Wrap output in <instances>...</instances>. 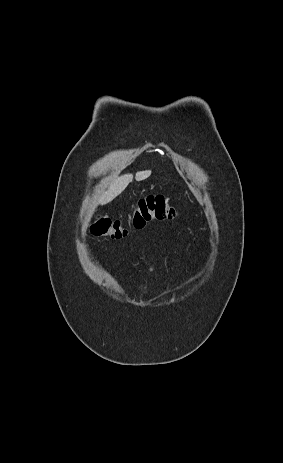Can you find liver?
Instances as JSON below:
<instances>
[{
  "label": "liver",
  "mask_w": 283,
  "mask_h": 463,
  "mask_svg": "<svg viewBox=\"0 0 283 463\" xmlns=\"http://www.w3.org/2000/svg\"><path fill=\"white\" fill-rule=\"evenodd\" d=\"M150 175L151 170L139 171L136 173L135 179L136 181H142L147 179ZM131 181L132 176L130 174L115 177L109 184L107 191L103 192L99 197V204L105 205L111 202L125 190Z\"/></svg>",
  "instance_id": "obj_1"
}]
</instances>
